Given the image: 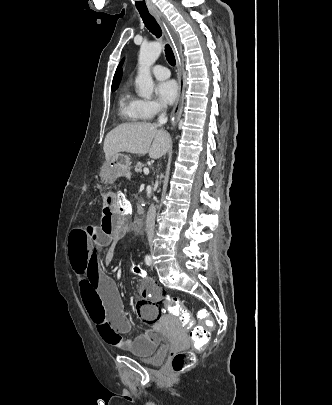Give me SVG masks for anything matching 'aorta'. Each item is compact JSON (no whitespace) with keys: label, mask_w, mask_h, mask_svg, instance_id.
Returning <instances> with one entry per match:
<instances>
[{"label":"aorta","mask_w":332,"mask_h":405,"mask_svg":"<svg viewBox=\"0 0 332 405\" xmlns=\"http://www.w3.org/2000/svg\"><path fill=\"white\" fill-rule=\"evenodd\" d=\"M162 43L154 41L142 44L138 58V74L135 80L140 96L151 97L153 93V79L150 73L151 66L155 63L162 51Z\"/></svg>","instance_id":"762f6f07"}]
</instances>
